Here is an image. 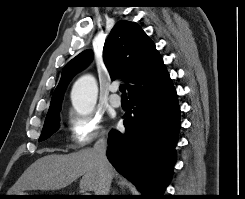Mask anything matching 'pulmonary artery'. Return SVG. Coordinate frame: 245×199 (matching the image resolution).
Returning a JSON list of instances; mask_svg holds the SVG:
<instances>
[{
  "mask_svg": "<svg viewBox=\"0 0 245 199\" xmlns=\"http://www.w3.org/2000/svg\"><path fill=\"white\" fill-rule=\"evenodd\" d=\"M118 89H119V87L117 84H112L110 86L111 95L109 98V102L115 108H119L121 106V103H122L120 96L117 94Z\"/></svg>",
  "mask_w": 245,
  "mask_h": 199,
  "instance_id": "e3ab8cb5",
  "label": "pulmonary artery"
}]
</instances>
